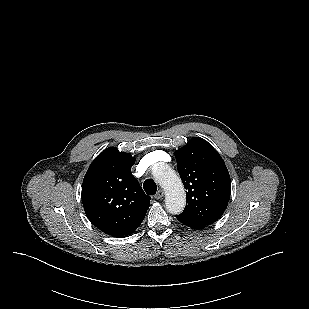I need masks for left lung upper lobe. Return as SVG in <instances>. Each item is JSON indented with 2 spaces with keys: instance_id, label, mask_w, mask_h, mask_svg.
Wrapping results in <instances>:
<instances>
[{
  "instance_id": "5c2ea615",
  "label": "left lung upper lobe",
  "mask_w": 309,
  "mask_h": 309,
  "mask_svg": "<svg viewBox=\"0 0 309 309\" xmlns=\"http://www.w3.org/2000/svg\"><path fill=\"white\" fill-rule=\"evenodd\" d=\"M175 156L187 190L185 209L177 217L211 225L224 213L231 193L230 176L223 159L202 138L191 139Z\"/></svg>"
}]
</instances>
